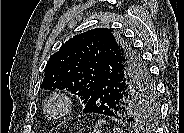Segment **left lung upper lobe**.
Here are the masks:
<instances>
[{
  "label": "left lung upper lobe",
  "instance_id": "1",
  "mask_svg": "<svg viewBox=\"0 0 184 133\" xmlns=\"http://www.w3.org/2000/svg\"><path fill=\"white\" fill-rule=\"evenodd\" d=\"M104 57L113 59L115 65L122 67L126 90L130 92L125 119L136 127L151 123L158 106L148 67L124 37L109 28L88 30L66 41L58 52L50 56L41 88H66L86 104L99 82ZM142 83L151 87L150 95L143 92Z\"/></svg>",
  "mask_w": 184,
  "mask_h": 133
}]
</instances>
